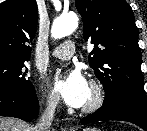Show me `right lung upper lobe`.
I'll return each mask as SVG.
<instances>
[{
	"instance_id": "right-lung-upper-lobe-1",
	"label": "right lung upper lobe",
	"mask_w": 147,
	"mask_h": 131,
	"mask_svg": "<svg viewBox=\"0 0 147 131\" xmlns=\"http://www.w3.org/2000/svg\"><path fill=\"white\" fill-rule=\"evenodd\" d=\"M38 20L35 0L0 4V58L29 60Z\"/></svg>"
}]
</instances>
